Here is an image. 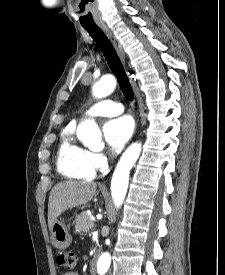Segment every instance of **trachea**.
Returning a JSON list of instances; mask_svg holds the SVG:
<instances>
[{
  "mask_svg": "<svg viewBox=\"0 0 225 275\" xmlns=\"http://www.w3.org/2000/svg\"><path fill=\"white\" fill-rule=\"evenodd\" d=\"M84 28L103 52L105 59L109 67L111 68L112 72L116 76L121 91L126 97V99L133 100L134 94L129 79L110 40L106 37V35L99 27Z\"/></svg>",
  "mask_w": 225,
  "mask_h": 275,
  "instance_id": "trachea-1",
  "label": "trachea"
}]
</instances>
